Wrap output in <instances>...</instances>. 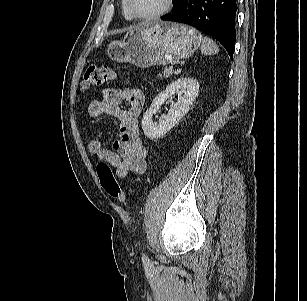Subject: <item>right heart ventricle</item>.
Here are the masks:
<instances>
[{"instance_id": "right-heart-ventricle-1", "label": "right heart ventricle", "mask_w": 307, "mask_h": 301, "mask_svg": "<svg viewBox=\"0 0 307 301\" xmlns=\"http://www.w3.org/2000/svg\"><path fill=\"white\" fill-rule=\"evenodd\" d=\"M121 6H122V12H123L124 17L127 20H133L134 18L132 17V15L130 14L127 8L126 0H122Z\"/></svg>"}]
</instances>
